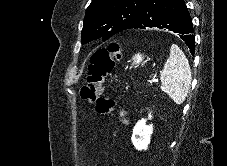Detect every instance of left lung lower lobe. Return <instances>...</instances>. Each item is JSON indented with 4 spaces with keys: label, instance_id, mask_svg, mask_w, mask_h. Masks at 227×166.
Masks as SVG:
<instances>
[{
    "label": "left lung lower lobe",
    "instance_id": "1",
    "mask_svg": "<svg viewBox=\"0 0 227 166\" xmlns=\"http://www.w3.org/2000/svg\"><path fill=\"white\" fill-rule=\"evenodd\" d=\"M152 27L178 33L194 55L193 24L184 0H147L132 29Z\"/></svg>",
    "mask_w": 227,
    "mask_h": 166
}]
</instances>
